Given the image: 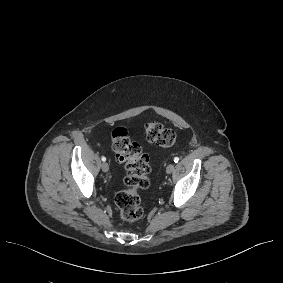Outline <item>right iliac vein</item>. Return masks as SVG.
I'll return each mask as SVG.
<instances>
[{
  "label": "right iliac vein",
  "mask_w": 283,
  "mask_h": 283,
  "mask_svg": "<svg viewBox=\"0 0 283 283\" xmlns=\"http://www.w3.org/2000/svg\"><path fill=\"white\" fill-rule=\"evenodd\" d=\"M101 169H102L103 172H108V170H109V165H108L106 162H104V163L101 165Z\"/></svg>",
  "instance_id": "1"
}]
</instances>
